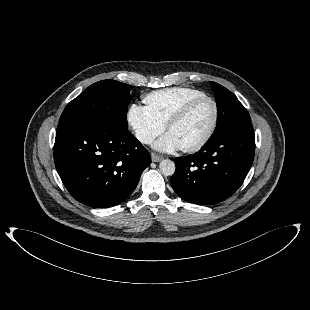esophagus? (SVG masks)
<instances>
[{"instance_id":"1","label":"esophagus","mask_w":310,"mask_h":310,"mask_svg":"<svg viewBox=\"0 0 310 310\" xmlns=\"http://www.w3.org/2000/svg\"><path fill=\"white\" fill-rule=\"evenodd\" d=\"M151 159H152L153 162H159V161L162 160V157L157 155V154H155V153H152L151 154Z\"/></svg>"}]
</instances>
